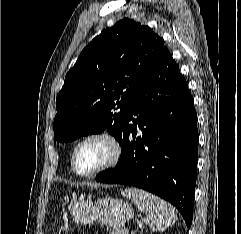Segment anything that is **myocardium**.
<instances>
[{
	"mask_svg": "<svg viewBox=\"0 0 241 234\" xmlns=\"http://www.w3.org/2000/svg\"><path fill=\"white\" fill-rule=\"evenodd\" d=\"M91 140L105 141L111 149V156L104 164H102L98 168H96L90 172L83 173V172L78 171L76 168V154H77L78 149L84 143L91 141ZM122 151H123L122 145L116 136H114L110 132L104 131V130L95 131V132H92V133H89V134L83 136L74 145L72 153H71V168H72L73 172L80 177H86V178L93 177L101 172H104V171L116 166L122 157Z\"/></svg>",
	"mask_w": 241,
	"mask_h": 234,
	"instance_id": "1",
	"label": "myocardium"
}]
</instances>
